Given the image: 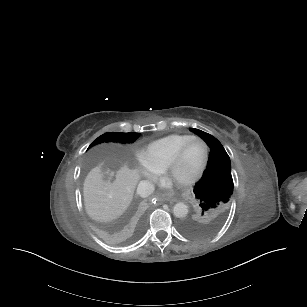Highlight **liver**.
Segmentation results:
<instances>
[{
	"label": "liver",
	"mask_w": 307,
	"mask_h": 307,
	"mask_svg": "<svg viewBox=\"0 0 307 307\" xmlns=\"http://www.w3.org/2000/svg\"><path fill=\"white\" fill-rule=\"evenodd\" d=\"M139 178L138 165L129 156L99 159L83 184L89 217L99 222L119 218L130 205Z\"/></svg>",
	"instance_id": "1"
}]
</instances>
